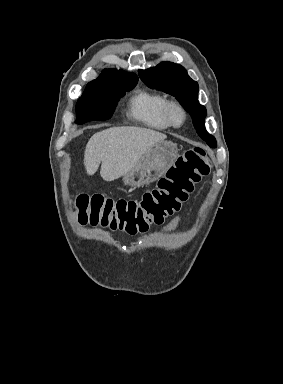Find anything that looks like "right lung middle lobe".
<instances>
[{
    "label": "right lung middle lobe",
    "mask_w": 283,
    "mask_h": 384,
    "mask_svg": "<svg viewBox=\"0 0 283 384\" xmlns=\"http://www.w3.org/2000/svg\"><path fill=\"white\" fill-rule=\"evenodd\" d=\"M135 85L136 83H117L86 88L76 104V122L83 124L110 119L119 99Z\"/></svg>",
    "instance_id": "dd1d6c3e"
}]
</instances>
